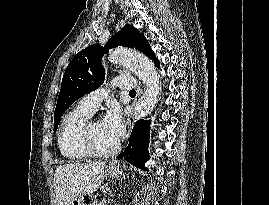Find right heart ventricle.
<instances>
[{
	"label": "right heart ventricle",
	"mask_w": 269,
	"mask_h": 205,
	"mask_svg": "<svg viewBox=\"0 0 269 205\" xmlns=\"http://www.w3.org/2000/svg\"><path fill=\"white\" fill-rule=\"evenodd\" d=\"M91 115V112L77 106L64 116L57 142L66 160L77 162L89 157L81 143V133Z\"/></svg>",
	"instance_id": "e07e8e85"
}]
</instances>
